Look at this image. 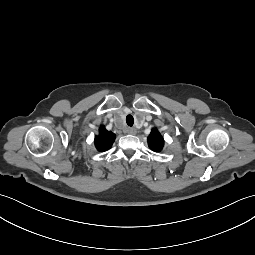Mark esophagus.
Returning <instances> with one entry per match:
<instances>
[{"instance_id": "34e87169", "label": "esophagus", "mask_w": 255, "mask_h": 255, "mask_svg": "<svg viewBox=\"0 0 255 255\" xmlns=\"http://www.w3.org/2000/svg\"><path fill=\"white\" fill-rule=\"evenodd\" d=\"M126 131L128 134H132V135H135L137 132L135 128H127Z\"/></svg>"}]
</instances>
